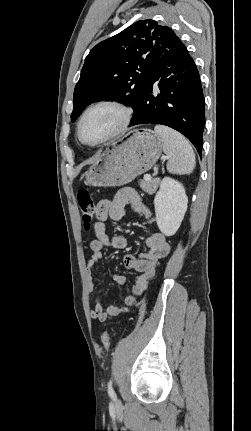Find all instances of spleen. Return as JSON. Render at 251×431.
Listing matches in <instances>:
<instances>
[{
	"mask_svg": "<svg viewBox=\"0 0 251 431\" xmlns=\"http://www.w3.org/2000/svg\"><path fill=\"white\" fill-rule=\"evenodd\" d=\"M154 131L163 142V151L169 157L167 170L172 174H190L193 172L196 160L189 142L177 131L156 125Z\"/></svg>",
	"mask_w": 251,
	"mask_h": 431,
	"instance_id": "obj_1",
	"label": "spleen"
}]
</instances>
